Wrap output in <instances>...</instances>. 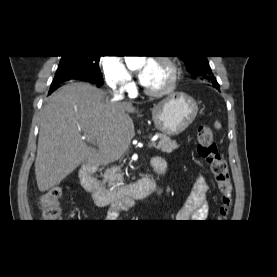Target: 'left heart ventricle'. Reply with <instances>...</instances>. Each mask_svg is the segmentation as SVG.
I'll list each match as a JSON object with an SVG mask.
<instances>
[{
    "mask_svg": "<svg viewBox=\"0 0 277 277\" xmlns=\"http://www.w3.org/2000/svg\"><path fill=\"white\" fill-rule=\"evenodd\" d=\"M169 80L168 68L160 62H154L147 87L157 89L163 87Z\"/></svg>",
    "mask_w": 277,
    "mask_h": 277,
    "instance_id": "b2bd125f",
    "label": "left heart ventricle"
}]
</instances>
